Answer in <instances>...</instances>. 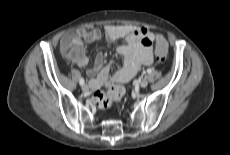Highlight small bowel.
Segmentation results:
<instances>
[{
  "label": "small bowel",
  "instance_id": "obj_1",
  "mask_svg": "<svg viewBox=\"0 0 230 155\" xmlns=\"http://www.w3.org/2000/svg\"><path fill=\"white\" fill-rule=\"evenodd\" d=\"M104 33L106 40L110 42L125 39V43L117 48L118 53L123 56V65L110 76L111 64L105 63L102 53L98 54L93 65L87 71L91 77L89 86L92 90H98L103 86L111 87L115 84H124L133 79L143 66L152 63L153 43L159 36L144 27L129 25H108L105 27ZM71 34L78 38L79 52L68 58L75 65L84 67L89 62L83 52L84 43L100 40L102 32L98 28H93L75 30Z\"/></svg>",
  "mask_w": 230,
  "mask_h": 155
}]
</instances>
